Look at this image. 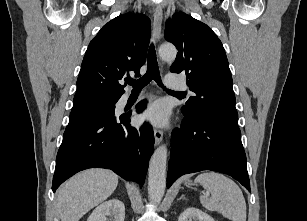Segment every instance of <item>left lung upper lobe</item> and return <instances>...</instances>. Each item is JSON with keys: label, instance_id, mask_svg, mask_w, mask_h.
Wrapping results in <instances>:
<instances>
[{"label": "left lung upper lobe", "instance_id": "1", "mask_svg": "<svg viewBox=\"0 0 307 221\" xmlns=\"http://www.w3.org/2000/svg\"><path fill=\"white\" fill-rule=\"evenodd\" d=\"M165 38L178 49L171 72L185 73L196 94L182 107L184 116L205 115L240 130L231 72L216 34L193 17L176 13L166 22Z\"/></svg>", "mask_w": 307, "mask_h": 221}]
</instances>
